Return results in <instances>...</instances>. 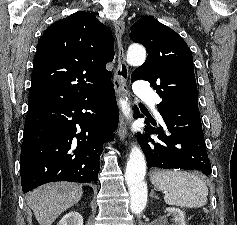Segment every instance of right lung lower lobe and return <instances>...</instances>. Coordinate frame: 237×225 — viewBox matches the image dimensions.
<instances>
[{
    "label": "right lung lower lobe",
    "instance_id": "obj_1",
    "mask_svg": "<svg viewBox=\"0 0 237 225\" xmlns=\"http://www.w3.org/2000/svg\"><path fill=\"white\" fill-rule=\"evenodd\" d=\"M119 113L113 84L63 104L28 110L21 147L23 192L53 181L97 183L103 143Z\"/></svg>",
    "mask_w": 237,
    "mask_h": 225
}]
</instances>
